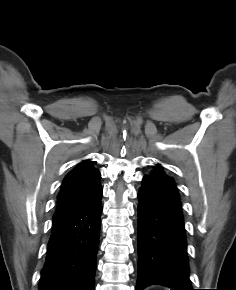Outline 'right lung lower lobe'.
<instances>
[{"mask_svg": "<svg viewBox=\"0 0 236 290\" xmlns=\"http://www.w3.org/2000/svg\"><path fill=\"white\" fill-rule=\"evenodd\" d=\"M101 197L53 218L39 290H94Z\"/></svg>", "mask_w": 236, "mask_h": 290, "instance_id": "right-lung-lower-lobe-1", "label": "right lung lower lobe"}]
</instances>
